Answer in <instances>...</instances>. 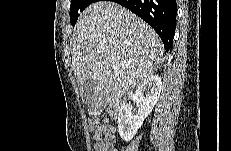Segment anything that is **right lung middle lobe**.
<instances>
[{
  "label": "right lung middle lobe",
  "instance_id": "dd1d6c3e",
  "mask_svg": "<svg viewBox=\"0 0 231 151\" xmlns=\"http://www.w3.org/2000/svg\"><path fill=\"white\" fill-rule=\"evenodd\" d=\"M96 0H72L70 5V22L75 25L81 12Z\"/></svg>",
  "mask_w": 231,
  "mask_h": 151
}]
</instances>
